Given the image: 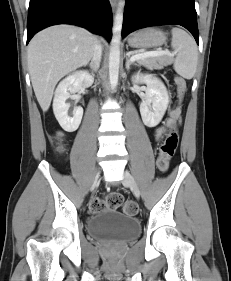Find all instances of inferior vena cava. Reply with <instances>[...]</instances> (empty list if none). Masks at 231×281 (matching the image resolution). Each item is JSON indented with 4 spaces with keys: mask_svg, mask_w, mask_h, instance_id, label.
<instances>
[{
    "mask_svg": "<svg viewBox=\"0 0 231 281\" xmlns=\"http://www.w3.org/2000/svg\"><path fill=\"white\" fill-rule=\"evenodd\" d=\"M101 57H102V46L100 43L96 42L94 47L92 62H91L93 67L97 69L99 68Z\"/></svg>",
    "mask_w": 231,
    "mask_h": 281,
    "instance_id": "602c4592",
    "label": "inferior vena cava"
}]
</instances>
